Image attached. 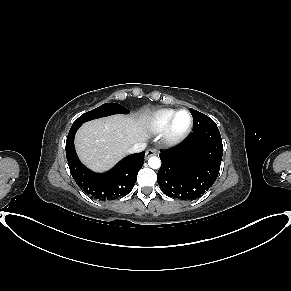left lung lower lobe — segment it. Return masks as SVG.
<instances>
[{
    "label": "left lung lower lobe",
    "mask_w": 291,
    "mask_h": 291,
    "mask_svg": "<svg viewBox=\"0 0 291 291\" xmlns=\"http://www.w3.org/2000/svg\"><path fill=\"white\" fill-rule=\"evenodd\" d=\"M223 144L217 125L193 131L179 145L161 150L157 182L164 194L194 200L214 184L219 174Z\"/></svg>",
    "instance_id": "1"
}]
</instances>
